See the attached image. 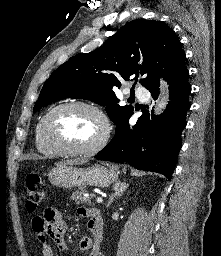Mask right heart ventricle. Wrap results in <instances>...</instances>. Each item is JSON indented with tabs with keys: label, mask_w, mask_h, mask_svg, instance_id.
Returning <instances> with one entry per match:
<instances>
[{
	"label": "right heart ventricle",
	"mask_w": 221,
	"mask_h": 256,
	"mask_svg": "<svg viewBox=\"0 0 221 256\" xmlns=\"http://www.w3.org/2000/svg\"><path fill=\"white\" fill-rule=\"evenodd\" d=\"M40 122L41 120L39 121V123L36 125V128H35V146L37 148V150L43 154V155H46V156H55L57 154H59L58 152H56L55 150L47 147L41 140L40 138V133H39V129H40Z\"/></svg>",
	"instance_id": "right-heart-ventricle-1"
}]
</instances>
